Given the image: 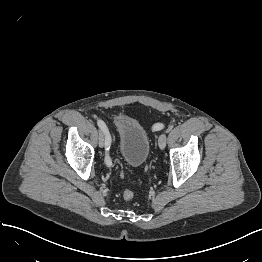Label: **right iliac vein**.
<instances>
[{
    "label": "right iliac vein",
    "mask_w": 262,
    "mask_h": 262,
    "mask_svg": "<svg viewBox=\"0 0 262 262\" xmlns=\"http://www.w3.org/2000/svg\"><path fill=\"white\" fill-rule=\"evenodd\" d=\"M106 142V134L103 130L99 131V147L103 148Z\"/></svg>",
    "instance_id": "obj_1"
}]
</instances>
